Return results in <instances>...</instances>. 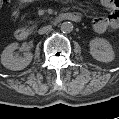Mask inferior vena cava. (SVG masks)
I'll return each instance as SVG.
<instances>
[{
    "label": "inferior vena cava",
    "instance_id": "602c4592",
    "mask_svg": "<svg viewBox=\"0 0 119 119\" xmlns=\"http://www.w3.org/2000/svg\"><path fill=\"white\" fill-rule=\"evenodd\" d=\"M51 30H52V26L51 25H47V26H44V27L40 28L38 30V33L42 35V34H45V33L49 32V31H51Z\"/></svg>",
    "mask_w": 119,
    "mask_h": 119
}]
</instances>
